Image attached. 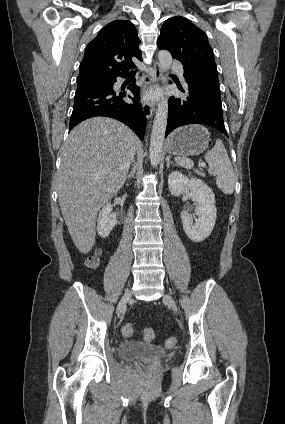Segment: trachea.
<instances>
[{
	"label": "trachea",
	"mask_w": 285,
	"mask_h": 424,
	"mask_svg": "<svg viewBox=\"0 0 285 424\" xmlns=\"http://www.w3.org/2000/svg\"><path fill=\"white\" fill-rule=\"evenodd\" d=\"M130 74H135V72L134 71H131Z\"/></svg>",
	"instance_id": "3493384b"
}]
</instances>
